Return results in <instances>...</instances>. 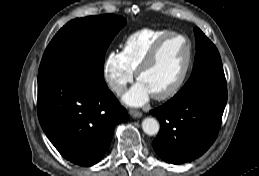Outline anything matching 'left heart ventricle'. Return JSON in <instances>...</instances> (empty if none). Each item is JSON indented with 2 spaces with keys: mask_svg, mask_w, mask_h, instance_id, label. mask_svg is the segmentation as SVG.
I'll return each mask as SVG.
<instances>
[{
  "mask_svg": "<svg viewBox=\"0 0 259 176\" xmlns=\"http://www.w3.org/2000/svg\"><path fill=\"white\" fill-rule=\"evenodd\" d=\"M186 41L178 36L169 38L162 46L156 60L140 76L151 94L168 89L180 75L186 60Z\"/></svg>",
  "mask_w": 259,
  "mask_h": 176,
  "instance_id": "b2bd125f",
  "label": "left heart ventricle"
}]
</instances>
